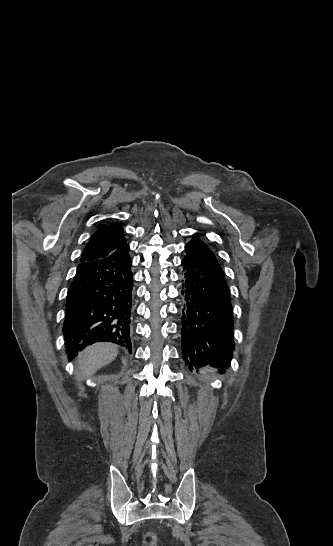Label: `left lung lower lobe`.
<instances>
[{"label":"left lung lower lobe","instance_id":"obj_1","mask_svg":"<svg viewBox=\"0 0 333 546\" xmlns=\"http://www.w3.org/2000/svg\"><path fill=\"white\" fill-rule=\"evenodd\" d=\"M185 250L181 311L183 359L190 369L207 364L228 367L234 350V321L224 272L198 234L185 245Z\"/></svg>","mask_w":333,"mask_h":546}]
</instances>
